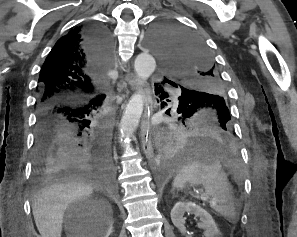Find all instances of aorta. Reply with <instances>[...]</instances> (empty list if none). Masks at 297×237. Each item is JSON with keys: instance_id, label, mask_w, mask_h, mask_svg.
<instances>
[{"instance_id": "obj_1", "label": "aorta", "mask_w": 297, "mask_h": 237, "mask_svg": "<svg viewBox=\"0 0 297 237\" xmlns=\"http://www.w3.org/2000/svg\"><path fill=\"white\" fill-rule=\"evenodd\" d=\"M149 45H153L152 41L148 40ZM156 62L152 55L147 52L139 54L134 61L135 72L142 84L154 72ZM144 107V98L141 92L135 93L128 102L123 113L120 125V137L125 138L134 133L138 126Z\"/></svg>"}]
</instances>
